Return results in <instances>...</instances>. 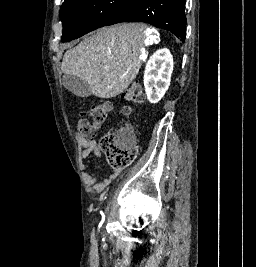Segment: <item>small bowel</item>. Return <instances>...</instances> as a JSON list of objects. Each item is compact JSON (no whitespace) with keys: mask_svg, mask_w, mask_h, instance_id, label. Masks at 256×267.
Returning <instances> with one entry per match:
<instances>
[{"mask_svg":"<svg viewBox=\"0 0 256 267\" xmlns=\"http://www.w3.org/2000/svg\"><path fill=\"white\" fill-rule=\"evenodd\" d=\"M78 143L79 146L82 148L80 153V161L83 166V161L87 159L92 153L95 155L96 158H101L102 155V148L99 142L85 138L82 136H78ZM118 171L114 170L106 177L102 178L101 180H97L94 176L84 173L83 179L87 187L92 188L95 192H102L104 191L117 177Z\"/></svg>","mask_w":256,"mask_h":267,"instance_id":"1","label":"small bowel"}]
</instances>
